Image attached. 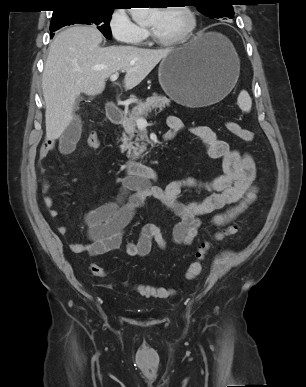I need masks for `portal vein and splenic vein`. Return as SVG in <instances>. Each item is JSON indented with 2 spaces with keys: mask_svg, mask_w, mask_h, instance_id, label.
Masks as SVG:
<instances>
[{
  "mask_svg": "<svg viewBox=\"0 0 306 387\" xmlns=\"http://www.w3.org/2000/svg\"><path fill=\"white\" fill-rule=\"evenodd\" d=\"M118 76H119V74L115 73V74L110 76V80L116 81L118 79ZM135 122H136L137 126H139V127H145L147 125V121L143 117L136 118Z\"/></svg>",
  "mask_w": 306,
  "mask_h": 387,
  "instance_id": "18ae733b",
  "label": "portal vein and splenic vein"
}]
</instances>
